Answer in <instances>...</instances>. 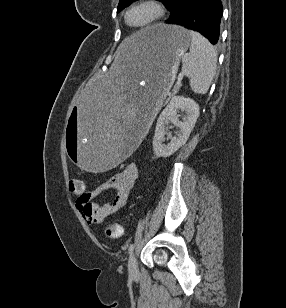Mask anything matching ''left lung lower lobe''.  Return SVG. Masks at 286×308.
Listing matches in <instances>:
<instances>
[{
    "label": "left lung lower lobe",
    "instance_id": "1",
    "mask_svg": "<svg viewBox=\"0 0 286 308\" xmlns=\"http://www.w3.org/2000/svg\"><path fill=\"white\" fill-rule=\"evenodd\" d=\"M167 24H177L195 30L205 36L212 44L219 39L221 0H173Z\"/></svg>",
    "mask_w": 286,
    "mask_h": 308
}]
</instances>
